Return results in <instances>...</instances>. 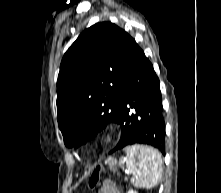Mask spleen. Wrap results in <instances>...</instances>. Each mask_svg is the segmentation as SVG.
I'll use <instances>...</instances> for the list:
<instances>
[{"mask_svg": "<svg viewBox=\"0 0 221 193\" xmlns=\"http://www.w3.org/2000/svg\"><path fill=\"white\" fill-rule=\"evenodd\" d=\"M125 151L126 170L132 174L130 182L135 187H155L162 176L161 154L148 146H128Z\"/></svg>", "mask_w": 221, "mask_h": 193, "instance_id": "3e777b00", "label": "spleen"}]
</instances>
